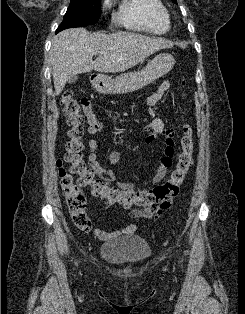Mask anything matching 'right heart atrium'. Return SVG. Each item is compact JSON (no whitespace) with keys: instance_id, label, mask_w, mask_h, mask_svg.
I'll list each match as a JSON object with an SVG mask.
<instances>
[{"instance_id":"right-heart-atrium-1","label":"right heart atrium","mask_w":245,"mask_h":314,"mask_svg":"<svg viewBox=\"0 0 245 314\" xmlns=\"http://www.w3.org/2000/svg\"><path fill=\"white\" fill-rule=\"evenodd\" d=\"M111 0H104L103 8H107L110 5Z\"/></svg>"}]
</instances>
